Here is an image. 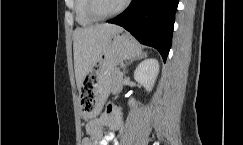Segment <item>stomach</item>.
Wrapping results in <instances>:
<instances>
[{"mask_svg":"<svg viewBox=\"0 0 243 145\" xmlns=\"http://www.w3.org/2000/svg\"><path fill=\"white\" fill-rule=\"evenodd\" d=\"M142 54L140 46L128 35L117 33L112 36L100 60L85 76L82 82V94L78 97L80 112L91 118L98 116L101 106L113 85V72L121 61L135 58ZM114 86V85H113Z\"/></svg>","mask_w":243,"mask_h":145,"instance_id":"stomach-1","label":"stomach"}]
</instances>
